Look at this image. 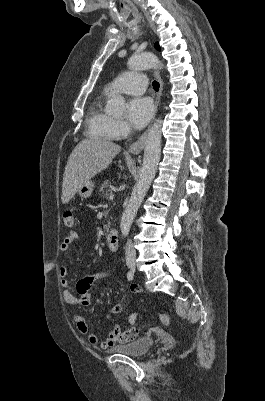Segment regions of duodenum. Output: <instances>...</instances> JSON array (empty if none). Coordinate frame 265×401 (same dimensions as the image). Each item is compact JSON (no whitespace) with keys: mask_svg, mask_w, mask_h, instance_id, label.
<instances>
[{"mask_svg":"<svg viewBox=\"0 0 265 401\" xmlns=\"http://www.w3.org/2000/svg\"><path fill=\"white\" fill-rule=\"evenodd\" d=\"M107 246L111 251L118 249V233L116 230H111L107 235Z\"/></svg>","mask_w":265,"mask_h":401,"instance_id":"1","label":"duodenum"}]
</instances>
